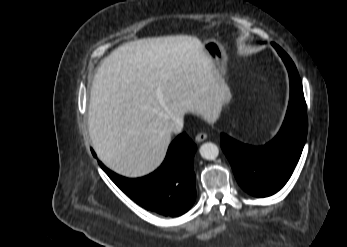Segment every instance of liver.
I'll return each instance as SVG.
<instances>
[{
	"mask_svg": "<svg viewBox=\"0 0 347 247\" xmlns=\"http://www.w3.org/2000/svg\"><path fill=\"white\" fill-rule=\"evenodd\" d=\"M227 98V85L198 38L125 43L103 60L93 80L88 112L93 148L114 172L145 176L164 160L174 118L191 112L214 122Z\"/></svg>",
	"mask_w": 347,
	"mask_h": 247,
	"instance_id": "liver-1",
	"label": "liver"
}]
</instances>
